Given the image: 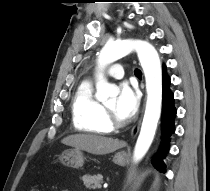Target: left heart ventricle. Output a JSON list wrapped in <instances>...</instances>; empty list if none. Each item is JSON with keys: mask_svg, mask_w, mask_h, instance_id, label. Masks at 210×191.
Returning <instances> with one entry per match:
<instances>
[{"mask_svg": "<svg viewBox=\"0 0 210 191\" xmlns=\"http://www.w3.org/2000/svg\"><path fill=\"white\" fill-rule=\"evenodd\" d=\"M106 106L109 108V109H111V110H113L115 113H116V100H113V101H111V102H109L108 104H106ZM116 115H117V113H116ZM118 116V115H117ZM119 117V116H118ZM120 118V117H119ZM121 119V118H120Z\"/></svg>", "mask_w": 210, "mask_h": 191, "instance_id": "obj_1", "label": "left heart ventricle"}]
</instances>
